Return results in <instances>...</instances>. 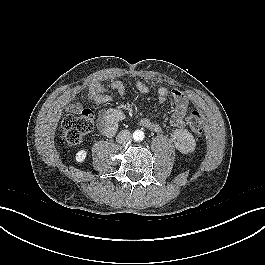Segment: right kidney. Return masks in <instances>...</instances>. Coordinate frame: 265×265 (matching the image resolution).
I'll return each mask as SVG.
<instances>
[{
	"label": "right kidney",
	"mask_w": 265,
	"mask_h": 265,
	"mask_svg": "<svg viewBox=\"0 0 265 265\" xmlns=\"http://www.w3.org/2000/svg\"><path fill=\"white\" fill-rule=\"evenodd\" d=\"M87 157V150L82 149L76 153L75 160L77 163H82Z\"/></svg>",
	"instance_id": "1"
}]
</instances>
